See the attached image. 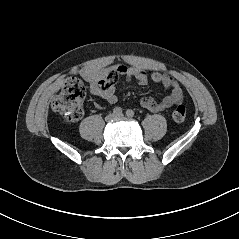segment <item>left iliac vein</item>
<instances>
[{"label":"left iliac vein","mask_w":239,"mask_h":239,"mask_svg":"<svg viewBox=\"0 0 239 239\" xmlns=\"http://www.w3.org/2000/svg\"><path fill=\"white\" fill-rule=\"evenodd\" d=\"M116 118H123V115H116Z\"/></svg>","instance_id":"left-iliac-vein-1"}]
</instances>
